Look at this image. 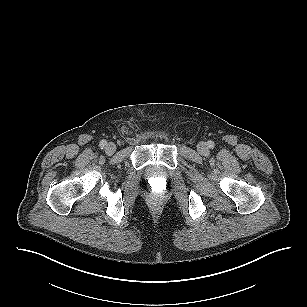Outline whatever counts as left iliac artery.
I'll return each instance as SVG.
<instances>
[{"mask_svg":"<svg viewBox=\"0 0 307 307\" xmlns=\"http://www.w3.org/2000/svg\"><path fill=\"white\" fill-rule=\"evenodd\" d=\"M215 146L214 142L213 141H208V147L213 149Z\"/></svg>","mask_w":307,"mask_h":307,"instance_id":"44dca946","label":"left iliac artery"}]
</instances>
